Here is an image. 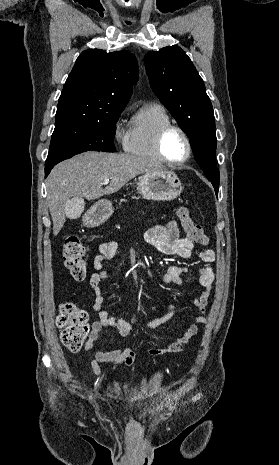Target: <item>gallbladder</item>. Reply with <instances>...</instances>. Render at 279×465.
<instances>
[{
	"instance_id": "obj_1",
	"label": "gallbladder",
	"mask_w": 279,
	"mask_h": 465,
	"mask_svg": "<svg viewBox=\"0 0 279 465\" xmlns=\"http://www.w3.org/2000/svg\"><path fill=\"white\" fill-rule=\"evenodd\" d=\"M66 208L68 209L67 218L71 220L79 218L83 210V199L79 197L70 199Z\"/></svg>"
}]
</instances>
